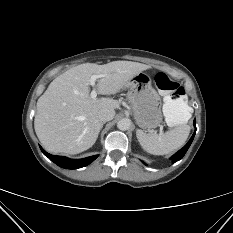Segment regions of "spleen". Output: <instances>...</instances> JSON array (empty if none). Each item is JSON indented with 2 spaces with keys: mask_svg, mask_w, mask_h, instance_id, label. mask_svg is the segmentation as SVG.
Segmentation results:
<instances>
[{
  "mask_svg": "<svg viewBox=\"0 0 233 233\" xmlns=\"http://www.w3.org/2000/svg\"><path fill=\"white\" fill-rule=\"evenodd\" d=\"M166 123L175 127L166 133L137 130L136 135L142 148L153 155H166L178 150L188 138L190 128L187 126L191 118V108L182 99L173 100L166 97L163 105Z\"/></svg>",
  "mask_w": 233,
  "mask_h": 233,
  "instance_id": "obj_1",
  "label": "spleen"
}]
</instances>
